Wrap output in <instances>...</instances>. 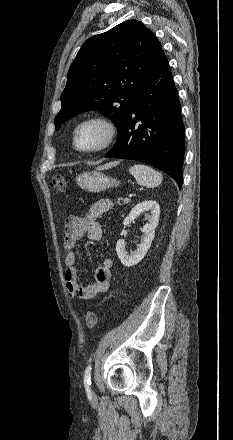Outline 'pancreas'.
I'll list each match as a JSON object with an SVG mask.
<instances>
[{
  "label": "pancreas",
  "instance_id": "1",
  "mask_svg": "<svg viewBox=\"0 0 233 440\" xmlns=\"http://www.w3.org/2000/svg\"><path fill=\"white\" fill-rule=\"evenodd\" d=\"M129 202H130L129 199L119 198L116 203L121 206V205L128 204Z\"/></svg>",
  "mask_w": 233,
  "mask_h": 440
}]
</instances>
